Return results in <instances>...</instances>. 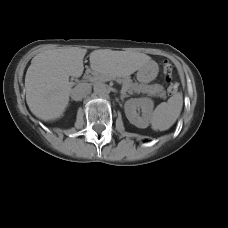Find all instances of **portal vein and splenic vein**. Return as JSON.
<instances>
[{
  "label": "portal vein and splenic vein",
  "mask_w": 228,
  "mask_h": 228,
  "mask_svg": "<svg viewBox=\"0 0 228 228\" xmlns=\"http://www.w3.org/2000/svg\"><path fill=\"white\" fill-rule=\"evenodd\" d=\"M127 90L123 87L121 93H125Z\"/></svg>",
  "instance_id": "portal-vein-and-splenic-vein-1"
}]
</instances>
